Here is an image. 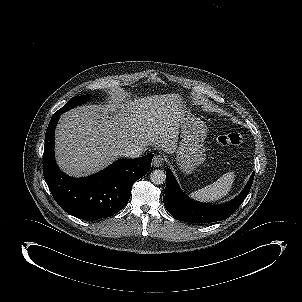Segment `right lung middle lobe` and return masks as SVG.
Instances as JSON below:
<instances>
[{
    "label": "right lung middle lobe",
    "mask_w": 302,
    "mask_h": 302,
    "mask_svg": "<svg viewBox=\"0 0 302 302\" xmlns=\"http://www.w3.org/2000/svg\"><path fill=\"white\" fill-rule=\"evenodd\" d=\"M89 95H83V96H79V97H74V98H71L67 104L65 106H63L60 110H58L57 112L59 113H64L70 109H72L73 107L75 106H78L82 103H85L87 100H89Z\"/></svg>",
    "instance_id": "dd1d6c3e"
}]
</instances>
